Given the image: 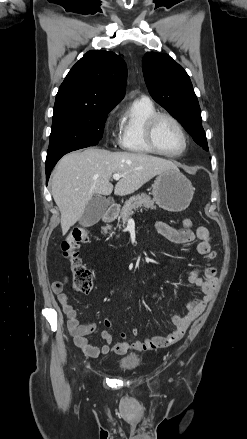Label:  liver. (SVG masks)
Returning a JSON list of instances; mask_svg holds the SVG:
<instances>
[{
	"mask_svg": "<svg viewBox=\"0 0 247 439\" xmlns=\"http://www.w3.org/2000/svg\"><path fill=\"white\" fill-rule=\"evenodd\" d=\"M177 166L159 157L130 152H110L88 148L72 152L57 163L51 180V193L61 213L65 235L83 215L94 194L110 195L113 174L122 175L114 188L119 196L137 191L156 175Z\"/></svg>",
	"mask_w": 247,
	"mask_h": 439,
	"instance_id": "6515ba94",
	"label": "liver"
}]
</instances>
